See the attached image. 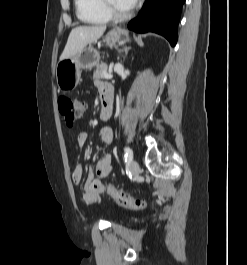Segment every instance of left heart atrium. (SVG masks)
Masks as SVG:
<instances>
[{"instance_id": "left-heart-atrium-1", "label": "left heart atrium", "mask_w": 247, "mask_h": 265, "mask_svg": "<svg viewBox=\"0 0 247 265\" xmlns=\"http://www.w3.org/2000/svg\"><path fill=\"white\" fill-rule=\"evenodd\" d=\"M120 4L125 6L127 9L132 8L138 0H118Z\"/></svg>"}]
</instances>
